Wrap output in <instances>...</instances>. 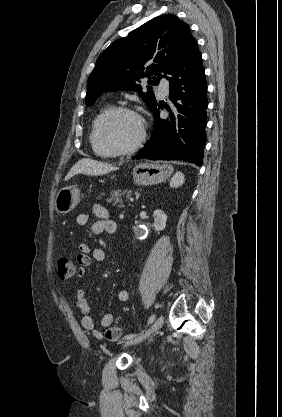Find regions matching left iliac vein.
Segmentation results:
<instances>
[{
  "label": "left iliac vein",
  "mask_w": 282,
  "mask_h": 417,
  "mask_svg": "<svg viewBox=\"0 0 282 417\" xmlns=\"http://www.w3.org/2000/svg\"><path fill=\"white\" fill-rule=\"evenodd\" d=\"M163 323H164V317L160 316L144 334H141V335H138L129 339L123 344V346L127 347L130 345L140 343L141 341H143L144 339H146L147 337H149L150 335L158 331L163 326Z\"/></svg>",
  "instance_id": "obj_1"
}]
</instances>
